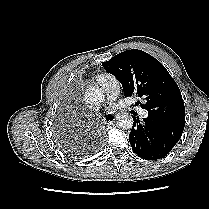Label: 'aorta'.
Wrapping results in <instances>:
<instances>
[{"label":"aorta","instance_id":"obj_1","mask_svg":"<svg viewBox=\"0 0 209 209\" xmlns=\"http://www.w3.org/2000/svg\"><path fill=\"white\" fill-rule=\"evenodd\" d=\"M85 100L89 104H101L104 100V91L98 86H90L85 91ZM116 125L122 129H131L133 118L128 113H121L116 118Z\"/></svg>","mask_w":209,"mask_h":209}]
</instances>
